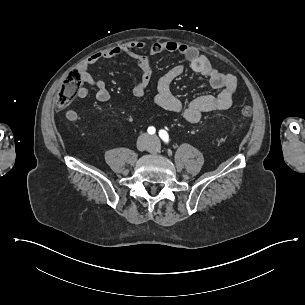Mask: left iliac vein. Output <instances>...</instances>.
<instances>
[{
	"mask_svg": "<svg viewBox=\"0 0 305 305\" xmlns=\"http://www.w3.org/2000/svg\"><path fill=\"white\" fill-rule=\"evenodd\" d=\"M153 139H154L155 141H157V136H153Z\"/></svg>",
	"mask_w": 305,
	"mask_h": 305,
	"instance_id": "obj_1",
	"label": "left iliac vein"
}]
</instances>
